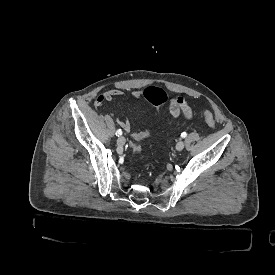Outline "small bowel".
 <instances>
[{"mask_svg": "<svg viewBox=\"0 0 275 275\" xmlns=\"http://www.w3.org/2000/svg\"><path fill=\"white\" fill-rule=\"evenodd\" d=\"M123 94H124L123 91L120 89H109L95 98L93 106L95 109H100L107 102H110L115 98L121 97ZM132 96L135 99L140 100L143 98V93L140 90H135L132 92ZM169 112H170V115L174 118L182 116L186 119H190L192 118V115H193L191 106L182 97L174 98L169 102ZM117 121H118V124L121 126V128L125 132L129 133L131 137L136 141L144 139L145 137L148 136L147 130L140 131V132H133L131 128V123L127 119L118 118Z\"/></svg>", "mask_w": 275, "mask_h": 275, "instance_id": "small-bowel-1", "label": "small bowel"}]
</instances>
